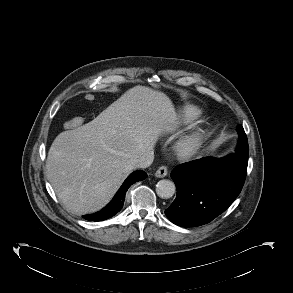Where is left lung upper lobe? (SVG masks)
Returning a JSON list of instances; mask_svg holds the SVG:
<instances>
[{
	"label": "left lung upper lobe",
	"mask_w": 293,
	"mask_h": 293,
	"mask_svg": "<svg viewBox=\"0 0 293 293\" xmlns=\"http://www.w3.org/2000/svg\"><path fill=\"white\" fill-rule=\"evenodd\" d=\"M238 133H239V135H242V134H244L245 132H244V129H243V127L240 125V126H238Z\"/></svg>",
	"instance_id": "5c2ea615"
}]
</instances>
